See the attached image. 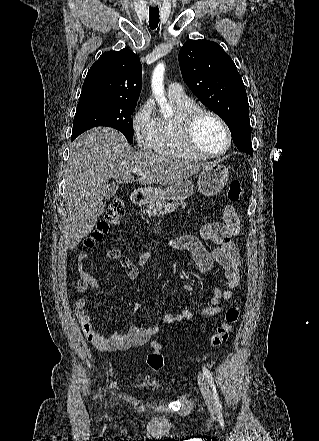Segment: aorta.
Segmentation results:
<instances>
[{
	"label": "aorta",
	"mask_w": 319,
	"mask_h": 441,
	"mask_svg": "<svg viewBox=\"0 0 319 441\" xmlns=\"http://www.w3.org/2000/svg\"><path fill=\"white\" fill-rule=\"evenodd\" d=\"M164 73L165 65L160 62L156 65L152 73L151 87L156 101L159 103L161 112L165 118L173 114L171 106L167 103L164 96Z\"/></svg>",
	"instance_id": "obj_1"
}]
</instances>
